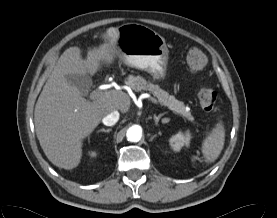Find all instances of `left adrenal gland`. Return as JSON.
I'll use <instances>...</instances> for the list:
<instances>
[{"label":"left adrenal gland","instance_id":"left-adrenal-gland-1","mask_svg":"<svg viewBox=\"0 0 277 218\" xmlns=\"http://www.w3.org/2000/svg\"><path fill=\"white\" fill-rule=\"evenodd\" d=\"M165 113H161L158 116L154 115V120H155V125L158 126V122L160 118L164 115ZM163 123L168 122V120H162Z\"/></svg>","mask_w":277,"mask_h":218}]
</instances>
